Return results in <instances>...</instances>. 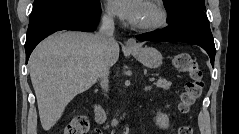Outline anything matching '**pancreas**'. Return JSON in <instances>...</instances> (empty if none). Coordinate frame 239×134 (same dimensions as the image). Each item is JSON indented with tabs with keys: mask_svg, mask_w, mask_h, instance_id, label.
<instances>
[{
	"mask_svg": "<svg viewBox=\"0 0 239 134\" xmlns=\"http://www.w3.org/2000/svg\"><path fill=\"white\" fill-rule=\"evenodd\" d=\"M155 85L159 88H162L163 90H169L172 83L165 79H159L155 82Z\"/></svg>",
	"mask_w": 239,
	"mask_h": 134,
	"instance_id": "pancreas-1",
	"label": "pancreas"
}]
</instances>
